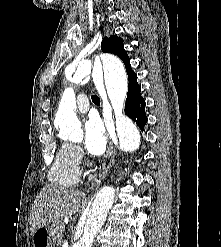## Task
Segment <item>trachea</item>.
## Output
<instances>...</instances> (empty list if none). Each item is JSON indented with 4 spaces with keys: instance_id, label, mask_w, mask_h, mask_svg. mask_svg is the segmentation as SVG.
I'll return each mask as SVG.
<instances>
[{
    "instance_id": "obj_1",
    "label": "trachea",
    "mask_w": 221,
    "mask_h": 247,
    "mask_svg": "<svg viewBox=\"0 0 221 247\" xmlns=\"http://www.w3.org/2000/svg\"><path fill=\"white\" fill-rule=\"evenodd\" d=\"M91 99H92L94 104L100 105V98L97 95H92Z\"/></svg>"
}]
</instances>
